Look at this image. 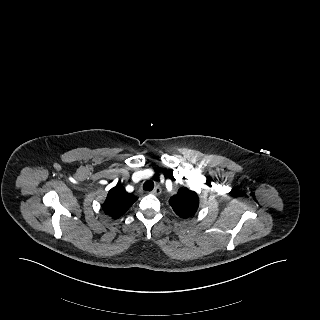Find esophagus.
Wrapping results in <instances>:
<instances>
[{
  "label": "esophagus",
  "instance_id": "1",
  "mask_svg": "<svg viewBox=\"0 0 320 320\" xmlns=\"http://www.w3.org/2000/svg\"><path fill=\"white\" fill-rule=\"evenodd\" d=\"M153 195H160L161 194V188L159 186H156L151 192Z\"/></svg>",
  "mask_w": 320,
  "mask_h": 320
}]
</instances>
